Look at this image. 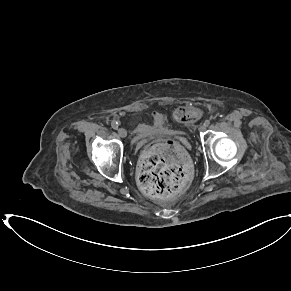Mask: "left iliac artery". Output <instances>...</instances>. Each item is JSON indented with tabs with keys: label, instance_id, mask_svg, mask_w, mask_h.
Instances as JSON below:
<instances>
[{
	"label": "left iliac artery",
	"instance_id": "obj_1",
	"mask_svg": "<svg viewBox=\"0 0 291 291\" xmlns=\"http://www.w3.org/2000/svg\"><path fill=\"white\" fill-rule=\"evenodd\" d=\"M204 124L206 125V126H208L209 124H210V120H205V122H204Z\"/></svg>",
	"mask_w": 291,
	"mask_h": 291
}]
</instances>
